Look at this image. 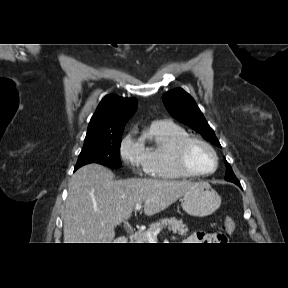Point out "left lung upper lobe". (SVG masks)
I'll list each match as a JSON object with an SVG mask.
<instances>
[{
	"label": "left lung upper lobe",
	"mask_w": 288,
	"mask_h": 288,
	"mask_svg": "<svg viewBox=\"0 0 288 288\" xmlns=\"http://www.w3.org/2000/svg\"><path fill=\"white\" fill-rule=\"evenodd\" d=\"M162 99L173 118L190 126L206 140L221 147L214 131L208 125L194 99L186 91L177 88L166 92ZM225 163L227 166L225 180L231 182L238 181L229 163L226 160Z\"/></svg>",
	"instance_id": "obj_1"
}]
</instances>
